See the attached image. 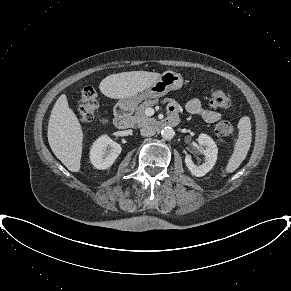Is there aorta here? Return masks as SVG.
<instances>
[{"label":"aorta","mask_w":291,"mask_h":291,"mask_svg":"<svg viewBox=\"0 0 291 291\" xmlns=\"http://www.w3.org/2000/svg\"><path fill=\"white\" fill-rule=\"evenodd\" d=\"M161 135L162 138L165 140H171L173 139L175 132L173 130V128L171 127H165L162 131H161Z\"/></svg>","instance_id":"aorta-1"}]
</instances>
